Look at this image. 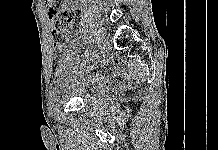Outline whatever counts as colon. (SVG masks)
I'll list each match as a JSON object with an SVG mask.
<instances>
[{
    "label": "colon",
    "instance_id": "1",
    "mask_svg": "<svg viewBox=\"0 0 218 150\" xmlns=\"http://www.w3.org/2000/svg\"><path fill=\"white\" fill-rule=\"evenodd\" d=\"M70 30L60 29L53 34L54 44L56 46H62L66 43Z\"/></svg>",
    "mask_w": 218,
    "mask_h": 150
}]
</instances>
